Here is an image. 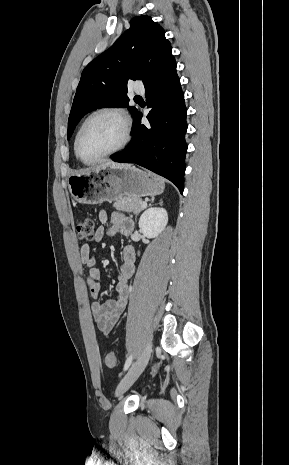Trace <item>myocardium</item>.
<instances>
[{
	"label": "myocardium",
	"instance_id": "myocardium-1",
	"mask_svg": "<svg viewBox=\"0 0 289 465\" xmlns=\"http://www.w3.org/2000/svg\"><path fill=\"white\" fill-rule=\"evenodd\" d=\"M99 115H109V116H112V117H115L117 118L123 125V131H124V135H123V139L121 141V143L115 147L114 149L100 155L99 157L97 158H94V159H91V160H86L84 159L81 155H80V152H79V141H80V137H81V134H82V131L84 129V127L86 126V124L94 117L96 116H99ZM131 139V127H130V121L128 119V117L125 115L124 112H122L121 110H118L116 108H111V107H103V108H99V109H96L95 111L91 112L84 120L83 122L81 123L77 133H76V136H75V140H74V151H75V154L77 156V158L85 163V164H94L104 158H107L109 156H112L118 152H120L121 150H123L129 143Z\"/></svg>",
	"mask_w": 289,
	"mask_h": 465
}]
</instances>
